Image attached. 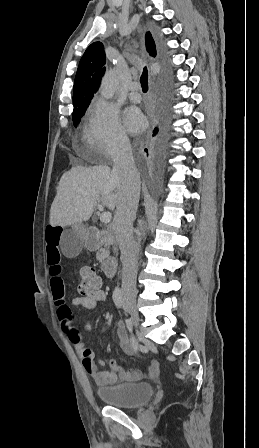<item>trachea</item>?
Listing matches in <instances>:
<instances>
[{
    "mask_svg": "<svg viewBox=\"0 0 259 448\" xmlns=\"http://www.w3.org/2000/svg\"><path fill=\"white\" fill-rule=\"evenodd\" d=\"M140 83L142 87V91L146 93L148 91V70L146 67L143 69V73L140 78Z\"/></svg>",
    "mask_w": 259,
    "mask_h": 448,
    "instance_id": "1",
    "label": "trachea"
}]
</instances>
